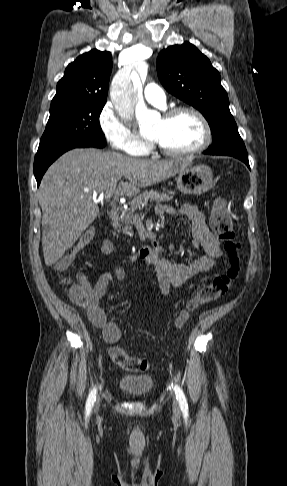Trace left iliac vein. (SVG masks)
Segmentation results:
<instances>
[{"label":"left iliac vein","mask_w":287,"mask_h":486,"mask_svg":"<svg viewBox=\"0 0 287 486\" xmlns=\"http://www.w3.org/2000/svg\"><path fill=\"white\" fill-rule=\"evenodd\" d=\"M172 407H173L174 415L178 417L180 415V408H179L178 401L176 399L173 400Z\"/></svg>","instance_id":"left-iliac-vein-1"}]
</instances>
